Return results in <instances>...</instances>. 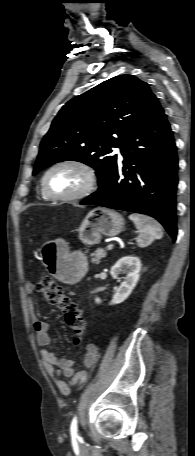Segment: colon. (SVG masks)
<instances>
[{"mask_svg": "<svg viewBox=\"0 0 195 456\" xmlns=\"http://www.w3.org/2000/svg\"><path fill=\"white\" fill-rule=\"evenodd\" d=\"M35 289L50 304L57 306L75 336L78 344L85 330V320L80 307L72 300L70 295L63 290L52 278L44 276L36 284Z\"/></svg>", "mask_w": 195, "mask_h": 456, "instance_id": "obj_1", "label": "colon"}]
</instances>
